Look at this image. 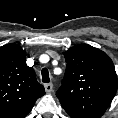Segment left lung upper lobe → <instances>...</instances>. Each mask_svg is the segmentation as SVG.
<instances>
[{"label": "left lung upper lobe", "mask_w": 118, "mask_h": 118, "mask_svg": "<svg viewBox=\"0 0 118 118\" xmlns=\"http://www.w3.org/2000/svg\"><path fill=\"white\" fill-rule=\"evenodd\" d=\"M67 62L56 95L71 118H100L118 87L112 60L89 45H75L63 53Z\"/></svg>", "instance_id": "1"}]
</instances>
